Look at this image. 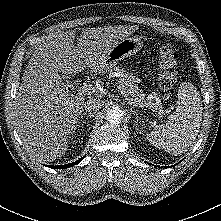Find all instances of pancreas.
Segmentation results:
<instances>
[{"instance_id": "pancreas-1", "label": "pancreas", "mask_w": 221, "mask_h": 221, "mask_svg": "<svg viewBox=\"0 0 221 221\" xmlns=\"http://www.w3.org/2000/svg\"><path fill=\"white\" fill-rule=\"evenodd\" d=\"M119 73L121 76V79L119 83L123 86L126 95L131 96L134 98L137 102H145L144 100V93L141 89L138 88V85L136 84V81L138 80L135 76H133L131 73L126 71L124 68L115 67L113 71H110V76ZM151 109L158 112L157 116L162 117L164 112L162 110L161 106H157L156 104L150 102Z\"/></svg>"}]
</instances>
